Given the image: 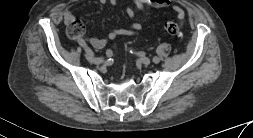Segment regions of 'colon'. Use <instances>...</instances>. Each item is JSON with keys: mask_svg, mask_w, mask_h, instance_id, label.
I'll list each match as a JSON object with an SVG mask.
<instances>
[{"mask_svg": "<svg viewBox=\"0 0 253 138\" xmlns=\"http://www.w3.org/2000/svg\"><path fill=\"white\" fill-rule=\"evenodd\" d=\"M165 31L172 36L181 37L183 34L182 27L175 22H167L164 25ZM68 35L73 39H79L84 34V25L79 20H74L69 24L67 29Z\"/></svg>", "mask_w": 253, "mask_h": 138, "instance_id": "colon-1", "label": "colon"}]
</instances>
